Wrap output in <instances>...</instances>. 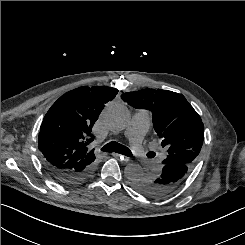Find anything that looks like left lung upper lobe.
<instances>
[{"mask_svg":"<svg viewBox=\"0 0 245 245\" xmlns=\"http://www.w3.org/2000/svg\"><path fill=\"white\" fill-rule=\"evenodd\" d=\"M121 98L136 109L152 112L153 127L167 151L162 164L195 163L204 140V125L183 95L162 89H143L123 93Z\"/></svg>","mask_w":245,"mask_h":245,"instance_id":"left-lung-upper-lobe-1","label":"left lung upper lobe"}]
</instances>
